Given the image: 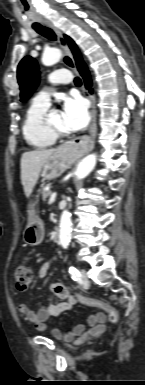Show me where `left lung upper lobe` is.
Masks as SVG:
<instances>
[{
	"mask_svg": "<svg viewBox=\"0 0 145 385\" xmlns=\"http://www.w3.org/2000/svg\"><path fill=\"white\" fill-rule=\"evenodd\" d=\"M17 74L21 90V101H26L39 84V71L36 60L30 56L24 57L18 65Z\"/></svg>",
	"mask_w": 145,
	"mask_h": 385,
	"instance_id": "left-lung-upper-lobe-1",
	"label": "left lung upper lobe"
}]
</instances>
